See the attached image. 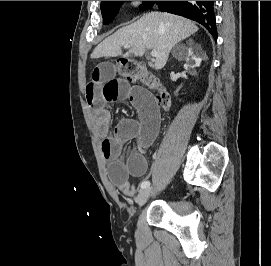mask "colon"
Masks as SVG:
<instances>
[{"mask_svg": "<svg viewBox=\"0 0 271 266\" xmlns=\"http://www.w3.org/2000/svg\"><path fill=\"white\" fill-rule=\"evenodd\" d=\"M117 73L128 81H139L147 85L154 93L157 104L168 109L170 106V98L160 81L150 74L146 66L135 59L120 58L115 62Z\"/></svg>", "mask_w": 271, "mask_h": 266, "instance_id": "5ec220e1", "label": "colon"}]
</instances>
